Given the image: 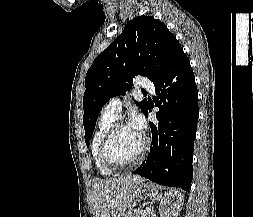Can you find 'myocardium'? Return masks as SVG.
I'll list each match as a JSON object with an SVG mask.
<instances>
[{
	"label": "myocardium",
	"mask_w": 253,
	"mask_h": 217,
	"mask_svg": "<svg viewBox=\"0 0 253 217\" xmlns=\"http://www.w3.org/2000/svg\"><path fill=\"white\" fill-rule=\"evenodd\" d=\"M128 124L125 122H114L110 128L107 130L105 135L103 136L100 146H99V156L100 160L103 163L105 167H107L110 170L118 171L126 168H130L138 164L142 158L144 157L147 147H148V140L146 136H143V144L141 147V150L137 154V156L132 159L129 162L126 163H119L115 160H113L108 152L109 143L112 139V137L115 135V133L122 127L127 126Z\"/></svg>",
	"instance_id": "obj_1"
}]
</instances>
